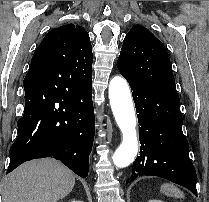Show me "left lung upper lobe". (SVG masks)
Wrapping results in <instances>:
<instances>
[{"instance_id":"obj_1","label":"left lung upper lobe","mask_w":209,"mask_h":202,"mask_svg":"<svg viewBox=\"0 0 209 202\" xmlns=\"http://www.w3.org/2000/svg\"><path fill=\"white\" fill-rule=\"evenodd\" d=\"M117 68L124 77L174 92L168 52L162 42L141 25H135L125 36Z\"/></svg>"}]
</instances>
